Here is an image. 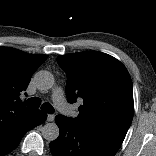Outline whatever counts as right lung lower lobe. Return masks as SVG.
I'll use <instances>...</instances> for the list:
<instances>
[{"instance_id": "1", "label": "right lung lower lobe", "mask_w": 156, "mask_h": 156, "mask_svg": "<svg viewBox=\"0 0 156 156\" xmlns=\"http://www.w3.org/2000/svg\"><path fill=\"white\" fill-rule=\"evenodd\" d=\"M47 114L41 110H35L27 117L10 119L0 126V156L14 150L20 143L24 134L43 123Z\"/></svg>"}]
</instances>
